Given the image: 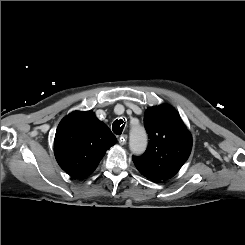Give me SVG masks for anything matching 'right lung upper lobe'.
Here are the masks:
<instances>
[{"mask_svg":"<svg viewBox=\"0 0 245 245\" xmlns=\"http://www.w3.org/2000/svg\"><path fill=\"white\" fill-rule=\"evenodd\" d=\"M116 137L91 111H75L63 118L54 140L55 157L70 176L81 179L90 175Z\"/></svg>","mask_w":245,"mask_h":245,"instance_id":"right-lung-upper-lobe-1","label":"right lung upper lobe"}]
</instances>
